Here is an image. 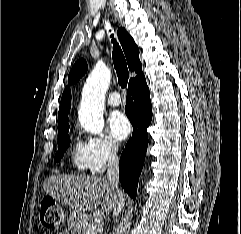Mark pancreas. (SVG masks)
Listing matches in <instances>:
<instances>
[{
    "mask_svg": "<svg viewBox=\"0 0 241 234\" xmlns=\"http://www.w3.org/2000/svg\"><path fill=\"white\" fill-rule=\"evenodd\" d=\"M93 223H90L89 225H87L86 227H84L82 229V233L81 234H102V232L100 230H93Z\"/></svg>",
    "mask_w": 241,
    "mask_h": 234,
    "instance_id": "cf45deb5",
    "label": "pancreas"
}]
</instances>
